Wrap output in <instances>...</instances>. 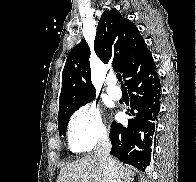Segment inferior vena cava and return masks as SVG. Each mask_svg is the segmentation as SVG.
Here are the masks:
<instances>
[{
  "label": "inferior vena cava",
  "mask_w": 196,
  "mask_h": 182,
  "mask_svg": "<svg viewBox=\"0 0 196 182\" xmlns=\"http://www.w3.org/2000/svg\"><path fill=\"white\" fill-rule=\"evenodd\" d=\"M111 142L107 135H104L95 148V156L100 161L103 173V182H122L115 160L111 157Z\"/></svg>",
  "instance_id": "inferior-vena-cava-1"
}]
</instances>
